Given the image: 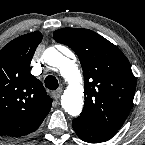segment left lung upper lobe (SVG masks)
<instances>
[{
	"label": "left lung upper lobe",
	"instance_id": "obj_1",
	"mask_svg": "<svg viewBox=\"0 0 145 145\" xmlns=\"http://www.w3.org/2000/svg\"><path fill=\"white\" fill-rule=\"evenodd\" d=\"M54 39L78 56L84 74L85 105L80 118L117 131L129 115L136 80L122 51L99 34L80 28H63Z\"/></svg>",
	"mask_w": 145,
	"mask_h": 145
}]
</instances>
